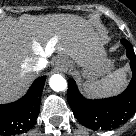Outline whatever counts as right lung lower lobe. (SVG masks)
<instances>
[{
  "label": "right lung lower lobe",
  "instance_id": "98d812e1",
  "mask_svg": "<svg viewBox=\"0 0 136 136\" xmlns=\"http://www.w3.org/2000/svg\"><path fill=\"white\" fill-rule=\"evenodd\" d=\"M45 76L37 78L20 100L0 105V135H19L36 123Z\"/></svg>",
  "mask_w": 136,
  "mask_h": 136
}]
</instances>
